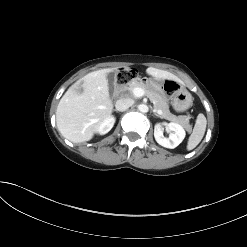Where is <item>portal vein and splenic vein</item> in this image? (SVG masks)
<instances>
[{"label": "portal vein and splenic vein", "mask_w": 247, "mask_h": 247, "mask_svg": "<svg viewBox=\"0 0 247 247\" xmlns=\"http://www.w3.org/2000/svg\"><path fill=\"white\" fill-rule=\"evenodd\" d=\"M133 94H134V96H136V97H142V96L145 94V91H144V89H142V88L136 87V88L133 89ZM157 112H158L159 114L162 113L161 110H158Z\"/></svg>", "instance_id": "obj_1"}]
</instances>
